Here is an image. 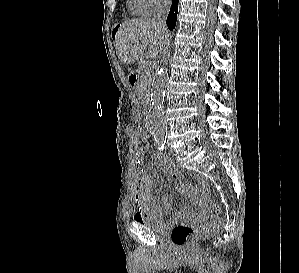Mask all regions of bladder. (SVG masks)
<instances>
[{"label": "bladder", "instance_id": "31cf9c89", "mask_svg": "<svg viewBox=\"0 0 299 273\" xmlns=\"http://www.w3.org/2000/svg\"><path fill=\"white\" fill-rule=\"evenodd\" d=\"M139 223L154 233L162 234L165 230L164 221L151 215L145 216Z\"/></svg>", "mask_w": 299, "mask_h": 273}]
</instances>
